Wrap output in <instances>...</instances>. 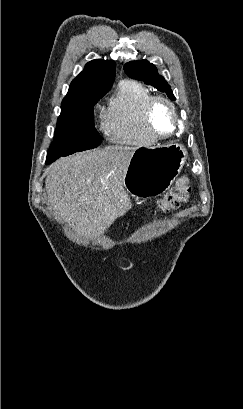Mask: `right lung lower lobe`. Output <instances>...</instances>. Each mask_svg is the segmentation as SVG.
<instances>
[{"mask_svg": "<svg viewBox=\"0 0 243 409\" xmlns=\"http://www.w3.org/2000/svg\"><path fill=\"white\" fill-rule=\"evenodd\" d=\"M60 157H61V156H58V157H47V160H46L45 164H50V163H52L53 161L57 160V159L60 158Z\"/></svg>", "mask_w": 243, "mask_h": 409, "instance_id": "right-lung-lower-lobe-1", "label": "right lung lower lobe"}]
</instances>
